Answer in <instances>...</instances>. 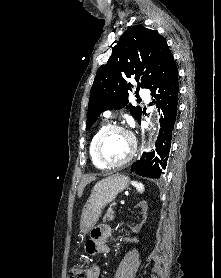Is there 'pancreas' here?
Instances as JSON below:
<instances>
[{
	"label": "pancreas",
	"instance_id": "pancreas-1",
	"mask_svg": "<svg viewBox=\"0 0 221 278\" xmlns=\"http://www.w3.org/2000/svg\"><path fill=\"white\" fill-rule=\"evenodd\" d=\"M114 218V210L110 207L107 211L106 214L103 217V221H111Z\"/></svg>",
	"mask_w": 221,
	"mask_h": 278
}]
</instances>
